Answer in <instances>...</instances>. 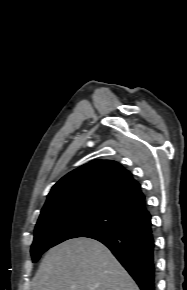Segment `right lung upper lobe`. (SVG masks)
Instances as JSON below:
<instances>
[{
    "instance_id": "1",
    "label": "right lung upper lobe",
    "mask_w": 187,
    "mask_h": 290,
    "mask_svg": "<svg viewBox=\"0 0 187 290\" xmlns=\"http://www.w3.org/2000/svg\"><path fill=\"white\" fill-rule=\"evenodd\" d=\"M144 195L131 173L112 160H94L59 180L48 194L41 216L80 206L109 208L129 222L149 216Z\"/></svg>"
}]
</instances>
